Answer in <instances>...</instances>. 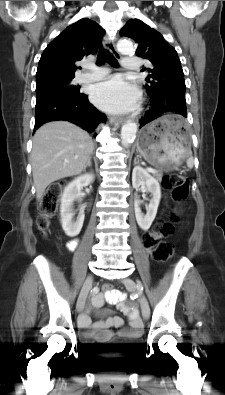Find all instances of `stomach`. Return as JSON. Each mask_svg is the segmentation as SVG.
<instances>
[{
  "label": "stomach",
  "instance_id": "1",
  "mask_svg": "<svg viewBox=\"0 0 225 395\" xmlns=\"http://www.w3.org/2000/svg\"><path fill=\"white\" fill-rule=\"evenodd\" d=\"M137 150L156 167L178 166L190 153V138L181 116L167 113L139 134Z\"/></svg>",
  "mask_w": 225,
  "mask_h": 395
}]
</instances>
